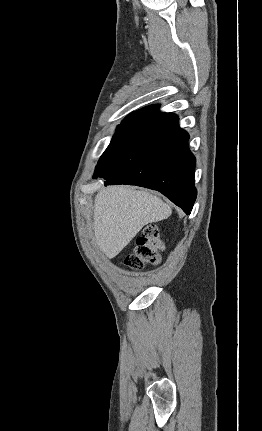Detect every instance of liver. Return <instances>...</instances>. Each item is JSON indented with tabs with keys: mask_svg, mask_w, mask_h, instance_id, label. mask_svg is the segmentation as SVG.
Masks as SVG:
<instances>
[{
	"mask_svg": "<svg viewBox=\"0 0 262 431\" xmlns=\"http://www.w3.org/2000/svg\"><path fill=\"white\" fill-rule=\"evenodd\" d=\"M171 213L168 204L147 191L108 187L94 200V242L108 258H114L145 225L167 219Z\"/></svg>",
	"mask_w": 262,
	"mask_h": 431,
	"instance_id": "6515ba94",
	"label": "liver"
}]
</instances>
